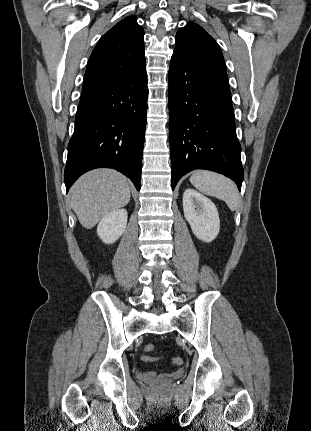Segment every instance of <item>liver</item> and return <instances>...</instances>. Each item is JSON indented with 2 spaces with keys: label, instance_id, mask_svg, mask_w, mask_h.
<instances>
[{
  "label": "liver",
  "instance_id": "obj_1",
  "mask_svg": "<svg viewBox=\"0 0 311 431\" xmlns=\"http://www.w3.org/2000/svg\"><path fill=\"white\" fill-rule=\"evenodd\" d=\"M131 188L125 176L115 170H92L71 188L70 206L81 225L91 229L101 217L124 208L130 202Z\"/></svg>",
  "mask_w": 311,
  "mask_h": 431
}]
</instances>
